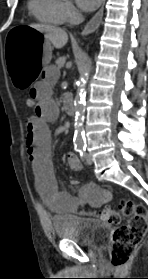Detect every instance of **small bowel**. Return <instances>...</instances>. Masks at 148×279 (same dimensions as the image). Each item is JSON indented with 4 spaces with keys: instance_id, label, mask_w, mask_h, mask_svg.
Wrapping results in <instances>:
<instances>
[{
    "instance_id": "obj_1",
    "label": "small bowel",
    "mask_w": 148,
    "mask_h": 279,
    "mask_svg": "<svg viewBox=\"0 0 148 279\" xmlns=\"http://www.w3.org/2000/svg\"><path fill=\"white\" fill-rule=\"evenodd\" d=\"M59 77L55 67H46L41 72V79L31 87L29 94L36 99L33 115L27 121L26 149L35 174L36 188L56 213H74L79 203L85 202L99 206L112 198L109 190L89 183L82 187L78 196H73L59 189L51 158V136L48 124L59 116V107L52 98V86ZM70 169L81 171L83 165L71 152L66 155ZM78 181L74 180L73 184Z\"/></svg>"
}]
</instances>
